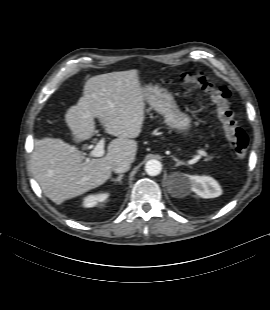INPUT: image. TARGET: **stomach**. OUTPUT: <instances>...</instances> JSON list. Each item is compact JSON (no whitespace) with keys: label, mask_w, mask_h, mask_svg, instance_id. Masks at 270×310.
Instances as JSON below:
<instances>
[{"label":"stomach","mask_w":270,"mask_h":310,"mask_svg":"<svg viewBox=\"0 0 270 310\" xmlns=\"http://www.w3.org/2000/svg\"><path fill=\"white\" fill-rule=\"evenodd\" d=\"M144 89L145 100L163 115L165 123L178 133L187 135L192 126V119L188 114L180 111L173 97L166 90L158 87Z\"/></svg>","instance_id":"1"}]
</instances>
